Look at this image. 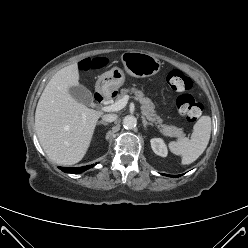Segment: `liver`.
Returning a JSON list of instances; mask_svg holds the SVG:
<instances>
[{"mask_svg": "<svg viewBox=\"0 0 248 248\" xmlns=\"http://www.w3.org/2000/svg\"><path fill=\"white\" fill-rule=\"evenodd\" d=\"M78 85L77 63L62 68L48 82L36 107L38 140L47 156L62 165L82 160L102 115L71 96L69 89Z\"/></svg>", "mask_w": 248, "mask_h": 248, "instance_id": "1", "label": "liver"}]
</instances>
